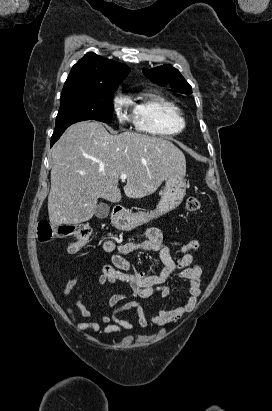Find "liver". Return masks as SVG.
Instances as JSON below:
<instances>
[{
    "label": "liver",
    "mask_w": 272,
    "mask_h": 411,
    "mask_svg": "<svg viewBox=\"0 0 272 411\" xmlns=\"http://www.w3.org/2000/svg\"><path fill=\"white\" fill-rule=\"evenodd\" d=\"M48 214L53 226L86 222L97 201L121 200L118 182L127 174L125 195L153 194L169 174L186 173L183 152L172 142L139 134H110L99 122L70 126L52 149Z\"/></svg>",
    "instance_id": "obj_1"
}]
</instances>
